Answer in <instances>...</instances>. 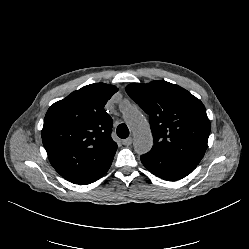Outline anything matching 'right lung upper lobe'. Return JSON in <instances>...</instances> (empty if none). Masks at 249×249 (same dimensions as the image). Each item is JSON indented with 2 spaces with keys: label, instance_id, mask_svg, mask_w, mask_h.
Instances as JSON below:
<instances>
[{
  "label": "right lung upper lobe",
  "instance_id": "1",
  "mask_svg": "<svg viewBox=\"0 0 249 249\" xmlns=\"http://www.w3.org/2000/svg\"><path fill=\"white\" fill-rule=\"evenodd\" d=\"M118 89L95 83L72 92L47 111L42 142L54 169L78 183L115 155L113 121L104 109Z\"/></svg>",
  "mask_w": 249,
  "mask_h": 249
}]
</instances>
